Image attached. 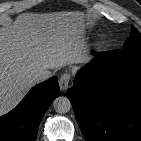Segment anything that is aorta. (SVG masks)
Instances as JSON below:
<instances>
[{
	"instance_id": "762f6f07",
	"label": "aorta",
	"mask_w": 141,
	"mask_h": 141,
	"mask_svg": "<svg viewBox=\"0 0 141 141\" xmlns=\"http://www.w3.org/2000/svg\"><path fill=\"white\" fill-rule=\"evenodd\" d=\"M53 107L57 113L64 114L71 109V102L67 97L59 96L53 102Z\"/></svg>"
}]
</instances>
